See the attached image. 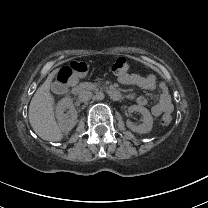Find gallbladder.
<instances>
[{"label":"gallbladder","instance_id":"obj_1","mask_svg":"<svg viewBox=\"0 0 208 208\" xmlns=\"http://www.w3.org/2000/svg\"><path fill=\"white\" fill-rule=\"evenodd\" d=\"M50 89L57 95H64L67 91L66 86L64 84H59L57 82L52 83Z\"/></svg>","mask_w":208,"mask_h":208}]
</instances>
